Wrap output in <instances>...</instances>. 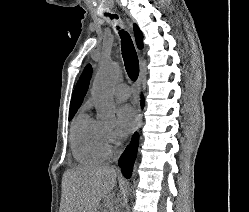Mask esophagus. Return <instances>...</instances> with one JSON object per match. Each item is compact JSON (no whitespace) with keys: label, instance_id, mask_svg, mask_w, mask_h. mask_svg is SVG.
Wrapping results in <instances>:
<instances>
[{"label":"esophagus","instance_id":"esophagus-1","mask_svg":"<svg viewBox=\"0 0 249 212\" xmlns=\"http://www.w3.org/2000/svg\"><path fill=\"white\" fill-rule=\"evenodd\" d=\"M142 76H143V64L141 65V69H140V76L138 78V81H137V89L138 91L140 90L141 88V80H142ZM142 114H141V110L139 111V114L137 115V123H136V131H138L141 126H142Z\"/></svg>","mask_w":249,"mask_h":212}]
</instances>
